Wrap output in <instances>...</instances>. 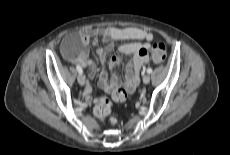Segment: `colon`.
<instances>
[{"instance_id":"colon-1","label":"colon","mask_w":230,"mask_h":155,"mask_svg":"<svg viewBox=\"0 0 230 155\" xmlns=\"http://www.w3.org/2000/svg\"><path fill=\"white\" fill-rule=\"evenodd\" d=\"M72 47H74L76 50H79L81 48V41L79 39H75L72 42ZM151 52L154 62L161 63L164 61L166 57V49L164 43H155L152 46ZM112 101L116 102L115 96H112L111 99L107 97L98 98L95 103L94 114L100 121L114 125L117 122V118L111 114Z\"/></svg>"}]
</instances>
